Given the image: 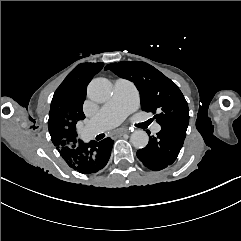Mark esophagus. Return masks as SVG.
<instances>
[{"label": "esophagus", "mask_w": 241, "mask_h": 241, "mask_svg": "<svg viewBox=\"0 0 241 241\" xmlns=\"http://www.w3.org/2000/svg\"><path fill=\"white\" fill-rule=\"evenodd\" d=\"M128 132H129L128 129L122 128V129H120L119 131H116L115 133H113V137L118 136V135H120V134H125V133H128Z\"/></svg>", "instance_id": "esophagus-1"}]
</instances>
